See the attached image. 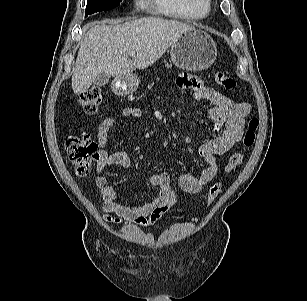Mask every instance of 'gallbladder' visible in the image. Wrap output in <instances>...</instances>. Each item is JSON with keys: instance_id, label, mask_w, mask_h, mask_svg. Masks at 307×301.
Wrapping results in <instances>:
<instances>
[{"instance_id": "obj_1", "label": "gallbladder", "mask_w": 307, "mask_h": 301, "mask_svg": "<svg viewBox=\"0 0 307 301\" xmlns=\"http://www.w3.org/2000/svg\"><path fill=\"white\" fill-rule=\"evenodd\" d=\"M109 79H110V76L108 74L101 73L95 78L93 83L97 87H102L109 82Z\"/></svg>"}]
</instances>
